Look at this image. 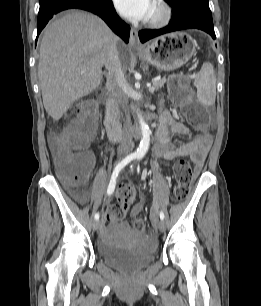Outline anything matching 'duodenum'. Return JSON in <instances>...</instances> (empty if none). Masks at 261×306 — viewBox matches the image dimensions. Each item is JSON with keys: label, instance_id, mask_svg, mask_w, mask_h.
Segmentation results:
<instances>
[{"label": "duodenum", "instance_id": "duodenum-1", "mask_svg": "<svg viewBox=\"0 0 261 306\" xmlns=\"http://www.w3.org/2000/svg\"><path fill=\"white\" fill-rule=\"evenodd\" d=\"M104 125L112 139L121 137L122 129L117 119L115 104L112 97H109L106 101Z\"/></svg>", "mask_w": 261, "mask_h": 306}]
</instances>
